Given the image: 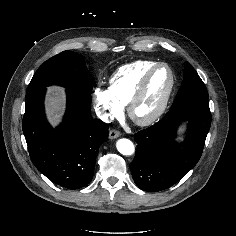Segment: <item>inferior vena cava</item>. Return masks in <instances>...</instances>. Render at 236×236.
I'll list each match as a JSON object with an SVG mask.
<instances>
[{
  "mask_svg": "<svg viewBox=\"0 0 236 236\" xmlns=\"http://www.w3.org/2000/svg\"><path fill=\"white\" fill-rule=\"evenodd\" d=\"M95 112H96L97 117L101 119L102 121L104 122L110 121V115L101 111L100 108H96Z\"/></svg>",
  "mask_w": 236,
  "mask_h": 236,
  "instance_id": "inferior-vena-cava-1",
  "label": "inferior vena cava"
}]
</instances>
